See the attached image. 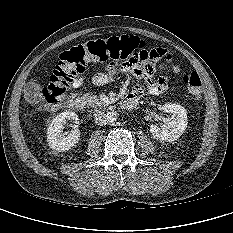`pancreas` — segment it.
<instances>
[{
	"label": "pancreas",
	"instance_id": "1",
	"mask_svg": "<svg viewBox=\"0 0 233 233\" xmlns=\"http://www.w3.org/2000/svg\"><path fill=\"white\" fill-rule=\"evenodd\" d=\"M83 101L91 106V107H100L101 105H103V102L100 101V99L93 94L87 93L83 96Z\"/></svg>",
	"mask_w": 233,
	"mask_h": 233
}]
</instances>
